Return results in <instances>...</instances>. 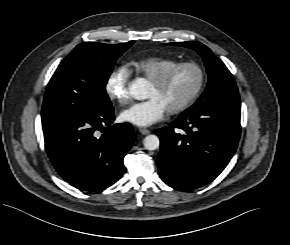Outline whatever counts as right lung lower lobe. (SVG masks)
<instances>
[{
  "instance_id": "98d812e1",
  "label": "right lung lower lobe",
  "mask_w": 290,
  "mask_h": 245,
  "mask_svg": "<svg viewBox=\"0 0 290 245\" xmlns=\"http://www.w3.org/2000/svg\"><path fill=\"white\" fill-rule=\"evenodd\" d=\"M113 107L70 117L42 118L45 147L59 175L78 189L97 191L121 176L135 134L128 123L111 124ZM103 134L98 137V132Z\"/></svg>"
}]
</instances>
